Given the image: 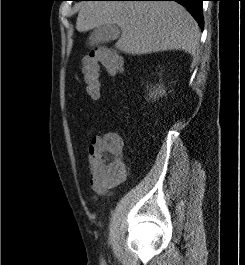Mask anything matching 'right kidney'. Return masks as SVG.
I'll list each match as a JSON object with an SVG mask.
<instances>
[{
    "mask_svg": "<svg viewBox=\"0 0 245 265\" xmlns=\"http://www.w3.org/2000/svg\"><path fill=\"white\" fill-rule=\"evenodd\" d=\"M164 94H165V88L163 87V85H159L157 88L154 87L153 91L150 90L149 97L156 99Z\"/></svg>",
    "mask_w": 245,
    "mask_h": 265,
    "instance_id": "right-kidney-1",
    "label": "right kidney"
}]
</instances>
